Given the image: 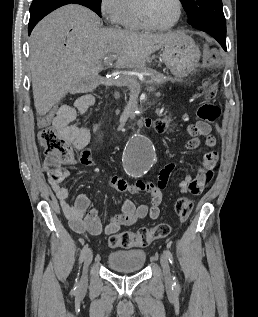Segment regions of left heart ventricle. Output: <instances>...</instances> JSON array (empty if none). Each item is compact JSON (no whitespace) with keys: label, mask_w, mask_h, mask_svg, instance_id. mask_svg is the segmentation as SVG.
I'll use <instances>...</instances> for the list:
<instances>
[{"label":"left heart ventricle","mask_w":258,"mask_h":317,"mask_svg":"<svg viewBox=\"0 0 258 317\" xmlns=\"http://www.w3.org/2000/svg\"><path fill=\"white\" fill-rule=\"evenodd\" d=\"M177 12L174 0H155L147 10V19L153 26H167L176 19Z\"/></svg>","instance_id":"b2bd125f"}]
</instances>
